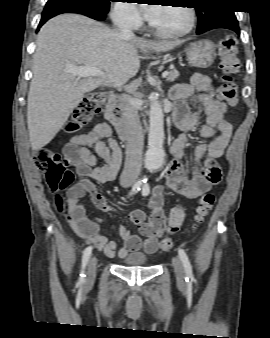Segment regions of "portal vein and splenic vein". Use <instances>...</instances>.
<instances>
[{"label": "portal vein and splenic vein", "mask_w": 270, "mask_h": 338, "mask_svg": "<svg viewBox=\"0 0 270 338\" xmlns=\"http://www.w3.org/2000/svg\"><path fill=\"white\" fill-rule=\"evenodd\" d=\"M66 72L72 73L73 75L79 76V77H103L104 73L99 68L95 67H73L68 66L65 69ZM169 72L164 71L162 73V78H166L168 76ZM119 85L118 87H120Z\"/></svg>", "instance_id": "portal-vein-and-splenic-vein-1"}]
</instances>
